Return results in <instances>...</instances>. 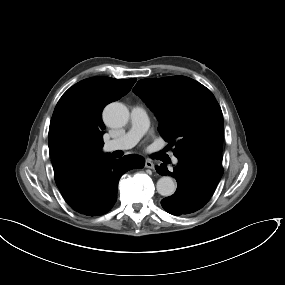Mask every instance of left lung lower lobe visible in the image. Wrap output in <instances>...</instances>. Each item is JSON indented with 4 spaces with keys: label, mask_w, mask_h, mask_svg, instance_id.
Here are the masks:
<instances>
[{
    "label": "left lung lower lobe",
    "mask_w": 285,
    "mask_h": 285,
    "mask_svg": "<svg viewBox=\"0 0 285 285\" xmlns=\"http://www.w3.org/2000/svg\"><path fill=\"white\" fill-rule=\"evenodd\" d=\"M178 164L170 172L165 164L156 166L160 175L176 178L175 194L161 201L165 211L172 215H189L203 208L219 183L222 162L202 156L177 157Z\"/></svg>",
    "instance_id": "0a47b994"
}]
</instances>
